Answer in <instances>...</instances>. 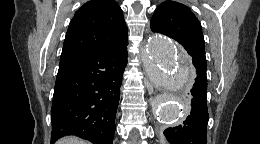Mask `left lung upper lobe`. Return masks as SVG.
<instances>
[{"mask_svg":"<svg viewBox=\"0 0 260 144\" xmlns=\"http://www.w3.org/2000/svg\"><path fill=\"white\" fill-rule=\"evenodd\" d=\"M150 25L153 32L173 38L187 51L199 52L203 58L193 65L196 69H206L201 24L190 8L175 1H165L155 10Z\"/></svg>","mask_w":260,"mask_h":144,"instance_id":"5c2ea615","label":"left lung upper lobe"}]
</instances>
